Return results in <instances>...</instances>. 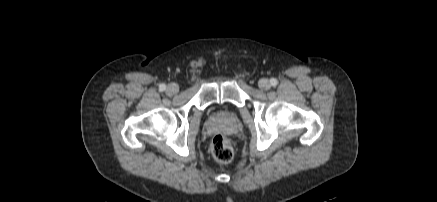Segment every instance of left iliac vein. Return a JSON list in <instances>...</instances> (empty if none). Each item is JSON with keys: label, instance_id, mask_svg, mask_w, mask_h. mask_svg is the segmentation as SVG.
<instances>
[{"label": "left iliac vein", "instance_id": "4c4485c4", "mask_svg": "<svg viewBox=\"0 0 437 202\" xmlns=\"http://www.w3.org/2000/svg\"><path fill=\"white\" fill-rule=\"evenodd\" d=\"M259 88L262 90H268L271 87V83L268 79H261L258 83Z\"/></svg>", "mask_w": 437, "mask_h": 202}]
</instances>
